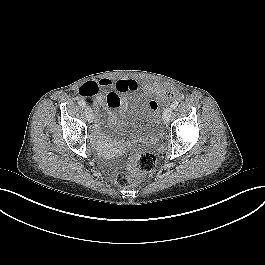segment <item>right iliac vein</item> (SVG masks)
Returning a JSON list of instances; mask_svg holds the SVG:
<instances>
[{
  "mask_svg": "<svg viewBox=\"0 0 265 265\" xmlns=\"http://www.w3.org/2000/svg\"><path fill=\"white\" fill-rule=\"evenodd\" d=\"M85 113H86V118H87L88 122L91 123L93 121L92 109L90 107H86L85 108Z\"/></svg>",
  "mask_w": 265,
  "mask_h": 265,
  "instance_id": "1",
  "label": "right iliac vein"
}]
</instances>
